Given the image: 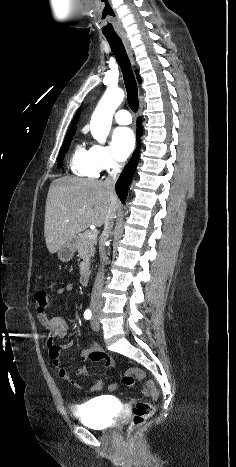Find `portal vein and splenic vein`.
<instances>
[{
  "instance_id": "portal-vein-and-splenic-vein-1",
  "label": "portal vein and splenic vein",
  "mask_w": 236,
  "mask_h": 467,
  "mask_svg": "<svg viewBox=\"0 0 236 467\" xmlns=\"http://www.w3.org/2000/svg\"><path fill=\"white\" fill-rule=\"evenodd\" d=\"M98 236V230L97 229H92L89 233H88V238L92 239V238H96Z\"/></svg>"
}]
</instances>
